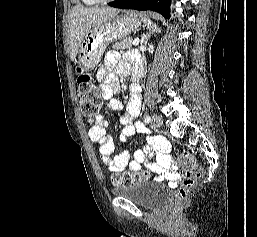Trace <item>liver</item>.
<instances>
[{
    "mask_svg": "<svg viewBox=\"0 0 257 237\" xmlns=\"http://www.w3.org/2000/svg\"><path fill=\"white\" fill-rule=\"evenodd\" d=\"M118 10L115 8H73L69 20L70 58H76L79 47L90 29L111 18Z\"/></svg>",
    "mask_w": 257,
    "mask_h": 237,
    "instance_id": "6515ba94",
    "label": "liver"
}]
</instances>
